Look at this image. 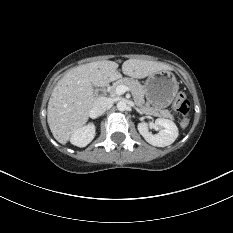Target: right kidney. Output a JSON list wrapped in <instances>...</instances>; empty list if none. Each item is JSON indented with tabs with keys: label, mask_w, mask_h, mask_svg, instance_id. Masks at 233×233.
<instances>
[{
	"label": "right kidney",
	"mask_w": 233,
	"mask_h": 233,
	"mask_svg": "<svg viewBox=\"0 0 233 233\" xmlns=\"http://www.w3.org/2000/svg\"><path fill=\"white\" fill-rule=\"evenodd\" d=\"M95 137V126L94 124H88L77 129L70 138L73 145L78 147L87 146Z\"/></svg>",
	"instance_id": "ca27d5eb"
}]
</instances>
